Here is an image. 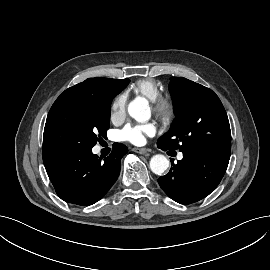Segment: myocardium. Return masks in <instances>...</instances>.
<instances>
[{"label": "myocardium", "instance_id": "1", "mask_svg": "<svg viewBox=\"0 0 270 270\" xmlns=\"http://www.w3.org/2000/svg\"><path fill=\"white\" fill-rule=\"evenodd\" d=\"M152 109L154 114L163 122H170L175 115V103L173 99L167 95H159L152 101Z\"/></svg>", "mask_w": 270, "mask_h": 270}]
</instances>
